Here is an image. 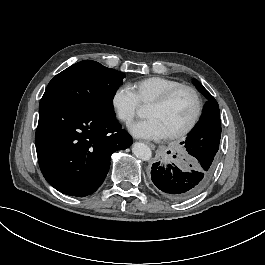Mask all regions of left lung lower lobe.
<instances>
[{
	"mask_svg": "<svg viewBox=\"0 0 265 265\" xmlns=\"http://www.w3.org/2000/svg\"><path fill=\"white\" fill-rule=\"evenodd\" d=\"M206 156H199L190 168L181 169L168 164L156 162L152 166V185L158 188L163 196L173 201H186L198 195L210 181L216 162V154L207 151Z\"/></svg>",
	"mask_w": 265,
	"mask_h": 265,
	"instance_id": "left-lung-lower-lobe-1",
	"label": "left lung lower lobe"
}]
</instances>
